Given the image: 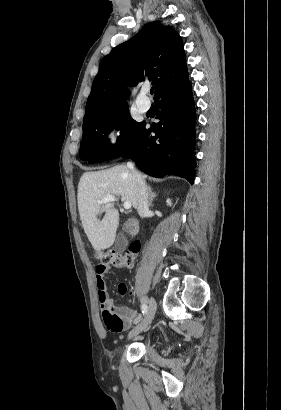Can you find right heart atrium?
I'll use <instances>...</instances> for the list:
<instances>
[{
	"instance_id": "d8ad5b80",
	"label": "right heart atrium",
	"mask_w": 281,
	"mask_h": 410,
	"mask_svg": "<svg viewBox=\"0 0 281 410\" xmlns=\"http://www.w3.org/2000/svg\"><path fill=\"white\" fill-rule=\"evenodd\" d=\"M121 136V125L114 124L107 133V141L108 143L115 145L118 143Z\"/></svg>"
}]
</instances>
